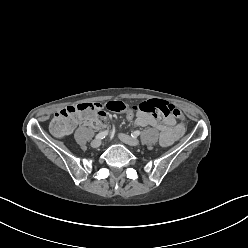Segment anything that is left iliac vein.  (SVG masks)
Listing matches in <instances>:
<instances>
[{
	"label": "left iliac vein",
	"instance_id": "1",
	"mask_svg": "<svg viewBox=\"0 0 248 248\" xmlns=\"http://www.w3.org/2000/svg\"><path fill=\"white\" fill-rule=\"evenodd\" d=\"M120 141L128 144V145H131V146H137L139 144V141L135 138H132L130 137L129 135H126V134H123V133H120L118 135Z\"/></svg>",
	"mask_w": 248,
	"mask_h": 248
}]
</instances>
